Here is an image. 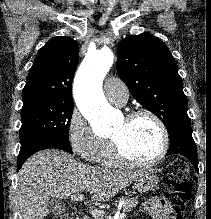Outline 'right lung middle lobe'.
<instances>
[{
    "mask_svg": "<svg viewBox=\"0 0 211 219\" xmlns=\"http://www.w3.org/2000/svg\"><path fill=\"white\" fill-rule=\"evenodd\" d=\"M73 103L51 99H32L23 102L21 109V148L41 141H52L67 147Z\"/></svg>",
    "mask_w": 211,
    "mask_h": 219,
    "instance_id": "right-lung-middle-lobe-1",
    "label": "right lung middle lobe"
}]
</instances>
